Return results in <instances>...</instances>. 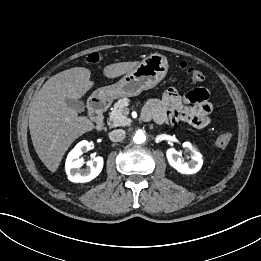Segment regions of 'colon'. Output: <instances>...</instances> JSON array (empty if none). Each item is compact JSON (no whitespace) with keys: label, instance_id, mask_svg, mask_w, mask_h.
Masks as SVG:
<instances>
[{"label":"colon","instance_id":"1","mask_svg":"<svg viewBox=\"0 0 261 261\" xmlns=\"http://www.w3.org/2000/svg\"><path fill=\"white\" fill-rule=\"evenodd\" d=\"M101 60V55L99 53H91L86 57V61L88 63H98ZM180 69L193 81V82H202L205 78L202 71L199 69L190 66L186 62L180 63ZM232 135L229 132L222 133L218 135L214 141V146L218 149H224L226 148L230 141H231Z\"/></svg>","mask_w":261,"mask_h":261}]
</instances>
